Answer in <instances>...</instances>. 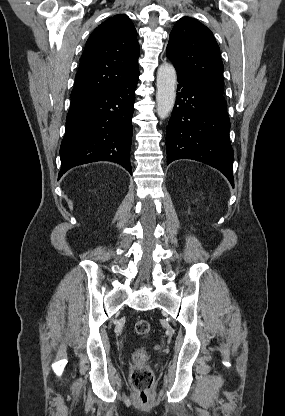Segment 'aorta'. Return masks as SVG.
<instances>
[{"mask_svg": "<svg viewBox=\"0 0 285 416\" xmlns=\"http://www.w3.org/2000/svg\"><path fill=\"white\" fill-rule=\"evenodd\" d=\"M176 70L173 65L163 64L157 71V113L162 119L173 110L176 99Z\"/></svg>", "mask_w": 285, "mask_h": 416, "instance_id": "1", "label": "aorta"}]
</instances>
